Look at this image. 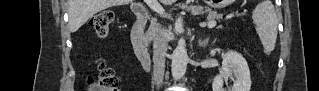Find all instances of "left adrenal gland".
Wrapping results in <instances>:
<instances>
[{
  "mask_svg": "<svg viewBox=\"0 0 319 91\" xmlns=\"http://www.w3.org/2000/svg\"><path fill=\"white\" fill-rule=\"evenodd\" d=\"M207 38L206 39H204V40H201V39H199V44H200V46H205L206 45V43H207Z\"/></svg>",
  "mask_w": 319,
  "mask_h": 91,
  "instance_id": "obj_1",
  "label": "left adrenal gland"
}]
</instances>
